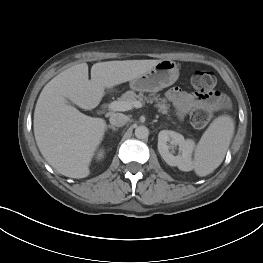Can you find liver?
<instances>
[{
	"mask_svg": "<svg viewBox=\"0 0 263 263\" xmlns=\"http://www.w3.org/2000/svg\"><path fill=\"white\" fill-rule=\"evenodd\" d=\"M160 60H124L95 63L88 76L87 63L72 66L48 82L37 100L34 135L45 160L61 175L85 178L104 137L106 122L81 113L97 107L105 88L131 81Z\"/></svg>",
	"mask_w": 263,
	"mask_h": 263,
	"instance_id": "1",
	"label": "liver"
}]
</instances>
